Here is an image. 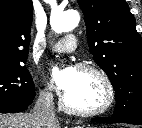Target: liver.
Segmentation results:
<instances>
[{
	"label": "liver",
	"mask_w": 142,
	"mask_h": 128,
	"mask_svg": "<svg viewBox=\"0 0 142 128\" xmlns=\"http://www.w3.org/2000/svg\"><path fill=\"white\" fill-rule=\"evenodd\" d=\"M50 128H61L58 119ZM0 128H42L33 113L0 114Z\"/></svg>",
	"instance_id": "obj_1"
}]
</instances>
